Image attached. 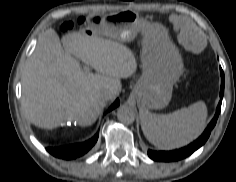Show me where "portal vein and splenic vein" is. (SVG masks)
Segmentation results:
<instances>
[{
  "label": "portal vein and splenic vein",
  "instance_id": "1",
  "mask_svg": "<svg viewBox=\"0 0 236 182\" xmlns=\"http://www.w3.org/2000/svg\"><path fill=\"white\" fill-rule=\"evenodd\" d=\"M84 70L89 71L90 69H89V67L86 66V67H84Z\"/></svg>",
  "mask_w": 236,
  "mask_h": 182
}]
</instances>
